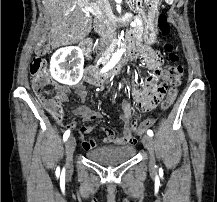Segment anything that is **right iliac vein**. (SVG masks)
<instances>
[{
  "mask_svg": "<svg viewBox=\"0 0 217 202\" xmlns=\"http://www.w3.org/2000/svg\"><path fill=\"white\" fill-rule=\"evenodd\" d=\"M76 147V141L73 137H70L65 144V155L68 168L73 165V153Z\"/></svg>",
  "mask_w": 217,
  "mask_h": 202,
  "instance_id": "obj_1",
  "label": "right iliac vein"
}]
</instances>
